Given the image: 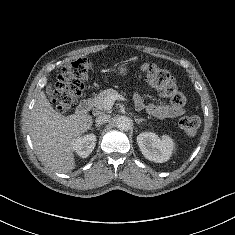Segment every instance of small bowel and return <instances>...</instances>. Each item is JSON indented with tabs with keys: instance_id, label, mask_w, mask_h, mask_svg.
Here are the masks:
<instances>
[{
	"instance_id": "small-bowel-1",
	"label": "small bowel",
	"mask_w": 235,
	"mask_h": 235,
	"mask_svg": "<svg viewBox=\"0 0 235 235\" xmlns=\"http://www.w3.org/2000/svg\"><path fill=\"white\" fill-rule=\"evenodd\" d=\"M134 102L137 109H145L149 114L160 119L175 118L184 113L182 106L155 102L145 103L139 93L134 95Z\"/></svg>"
}]
</instances>
